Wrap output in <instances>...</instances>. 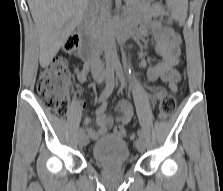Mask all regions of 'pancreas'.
I'll use <instances>...</instances> for the list:
<instances>
[{
  "label": "pancreas",
  "mask_w": 223,
  "mask_h": 191,
  "mask_svg": "<svg viewBox=\"0 0 223 191\" xmlns=\"http://www.w3.org/2000/svg\"><path fill=\"white\" fill-rule=\"evenodd\" d=\"M104 12H105L104 5H102L100 8H97L95 11V16L93 17L94 22H97V24H100L102 21Z\"/></svg>",
  "instance_id": "cf45deb5"
}]
</instances>
